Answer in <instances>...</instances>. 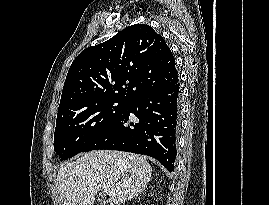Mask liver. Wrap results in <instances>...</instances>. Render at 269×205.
I'll list each match as a JSON object with an SVG mask.
<instances>
[{
	"instance_id": "liver-1",
	"label": "liver",
	"mask_w": 269,
	"mask_h": 205,
	"mask_svg": "<svg viewBox=\"0 0 269 205\" xmlns=\"http://www.w3.org/2000/svg\"><path fill=\"white\" fill-rule=\"evenodd\" d=\"M152 167L137 154L121 151L88 152L60 167L57 182L62 205H93L101 189H110L109 205H120L141 193Z\"/></svg>"
}]
</instances>
